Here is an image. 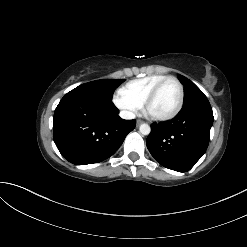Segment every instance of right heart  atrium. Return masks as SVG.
<instances>
[{
	"label": "right heart atrium",
	"mask_w": 247,
	"mask_h": 247,
	"mask_svg": "<svg viewBox=\"0 0 247 247\" xmlns=\"http://www.w3.org/2000/svg\"><path fill=\"white\" fill-rule=\"evenodd\" d=\"M113 103L120 111H122L128 117L134 116L141 108V105L139 103L133 101L122 91H119L114 95Z\"/></svg>",
	"instance_id": "1"
}]
</instances>
